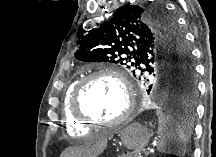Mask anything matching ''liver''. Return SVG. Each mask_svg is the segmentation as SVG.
Returning <instances> with one entry per match:
<instances>
[{"label":"liver","instance_id":"1","mask_svg":"<svg viewBox=\"0 0 216 157\" xmlns=\"http://www.w3.org/2000/svg\"><path fill=\"white\" fill-rule=\"evenodd\" d=\"M107 146L105 137H96L90 143L80 147H70L66 149L61 157H97Z\"/></svg>","mask_w":216,"mask_h":157}]
</instances>
